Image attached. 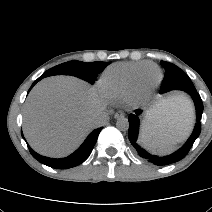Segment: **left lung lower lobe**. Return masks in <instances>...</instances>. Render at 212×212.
Returning <instances> with one entry per match:
<instances>
[{"mask_svg":"<svg viewBox=\"0 0 212 212\" xmlns=\"http://www.w3.org/2000/svg\"><path fill=\"white\" fill-rule=\"evenodd\" d=\"M181 91L188 93L192 97L194 104H195V108H196L197 123L195 124V128L193 130L192 135L187 140V142L182 146V148H180L179 150H177L176 152H174L168 156L160 157V156L151 155L137 144V137H138V131H139V116L142 113L141 109L135 110V112L133 114H130L128 117V121H129L128 138H129L131 144L134 146L137 153L141 157L147 159L150 163H152L156 166H164V165L172 164V163L178 162L181 159H183L189 152L194 141L200 135V132H201L200 120H201L202 113H203V103H202L201 97L195 88L184 89Z\"/></svg>","mask_w":212,"mask_h":212,"instance_id":"1","label":"left lung lower lobe"}]
</instances>
